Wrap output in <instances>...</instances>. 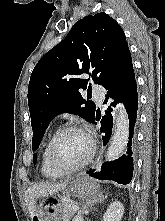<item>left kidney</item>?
<instances>
[{"label": "left kidney", "mask_w": 165, "mask_h": 221, "mask_svg": "<svg viewBox=\"0 0 165 221\" xmlns=\"http://www.w3.org/2000/svg\"><path fill=\"white\" fill-rule=\"evenodd\" d=\"M123 213V204L119 201H115L108 207L106 213L103 216V221H121Z\"/></svg>", "instance_id": "left-kidney-1"}]
</instances>
